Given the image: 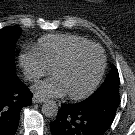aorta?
Returning a JSON list of instances; mask_svg holds the SVG:
<instances>
[{
    "instance_id": "aorta-1",
    "label": "aorta",
    "mask_w": 135,
    "mask_h": 135,
    "mask_svg": "<svg viewBox=\"0 0 135 135\" xmlns=\"http://www.w3.org/2000/svg\"><path fill=\"white\" fill-rule=\"evenodd\" d=\"M42 113L46 117H55L58 113V105L55 101L49 100L42 105Z\"/></svg>"
}]
</instances>
